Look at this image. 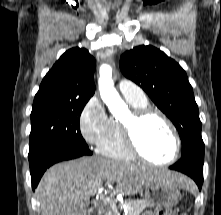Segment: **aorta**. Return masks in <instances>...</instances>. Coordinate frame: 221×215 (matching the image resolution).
I'll return each mask as SVG.
<instances>
[{
    "instance_id": "1",
    "label": "aorta",
    "mask_w": 221,
    "mask_h": 215,
    "mask_svg": "<svg viewBox=\"0 0 221 215\" xmlns=\"http://www.w3.org/2000/svg\"><path fill=\"white\" fill-rule=\"evenodd\" d=\"M100 77L98 80L100 96L103 102L107 105L112 114H117L126 109L124 101L119 96L114 88L112 80V68L110 65L103 64L99 70Z\"/></svg>"
}]
</instances>
